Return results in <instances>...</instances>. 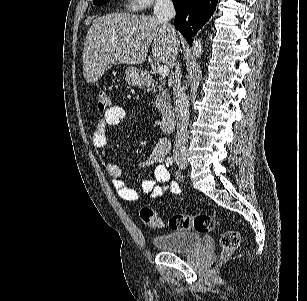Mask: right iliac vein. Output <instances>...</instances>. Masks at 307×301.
Masks as SVG:
<instances>
[{
	"instance_id": "63e3f726",
	"label": "right iliac vein",
	"mask_w": 307,
	"mask_h": 301,
	"mask_svg": "<svg viewBox=\"0 0 307 301\" xmlns=\"http://www.w3.org/2000/svg\"><path fill=\"white\" fill-rule=\"evenodd\" d=\"M176 163L178 164V166L180 168H185L186 165H187L186 159L184 157H180V156L176 157Z\"/></svg>"
}]
</instances>
